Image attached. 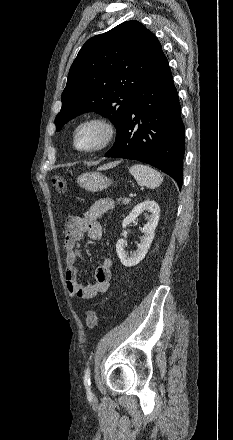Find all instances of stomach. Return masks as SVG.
I'll use <instances>...</instances> for the list:
<instances>
[{"label":"stomach","instance_id":"1","mask_svg":"<svg viewBox=\"0 0 233 440\" xmlns=\"http://www.w3.org/2000/svg\"><path fill=\"white\" fill-rule=\"evenodd\" d=\"M77 183L87 191L98 192L108 188L113 182L100 172H86L78 177Z\"/></svg>","mask_w":233,"mask_h":440}]
</instances>
